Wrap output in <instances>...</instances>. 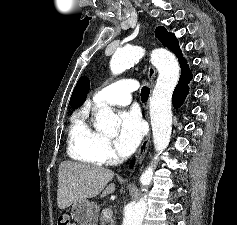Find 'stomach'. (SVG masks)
<instances>
[{"mask_svg": "<svg viewBox=\"0 0 237 225\" xmlns=\"http://www.w3.org/2000/svg\"><path fill=\"white\" fill-rule=\"evenodd\" d=\"M72 215L79 225H89L97 218L98 207L94 202L81 199L73 203Z\"/></svg>", "mask_w": 237, "mask_h": 225, "instance_id": "1", "label": "stomach"}]
</instances>
